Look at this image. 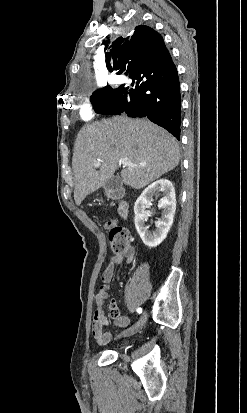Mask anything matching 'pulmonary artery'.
<instances>
[{"label":"pulmonary artery","instance_id":"1","mask_svg":"<svg viewBox=\"0 0 247 413\" xmlns=\"http://www.w3.org/2000/svg\"><path fill=\"white\" fill-rule=\"evenodd\" d=\"M109 82L112 86L118 87L126 82V78L123 75H112Z\"/></svg>","mask_w":247,"mask_h":413}]
</instances>
